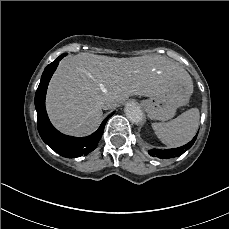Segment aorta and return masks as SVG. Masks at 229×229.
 <instances>
[{
    "label": "aorta",
    "mask_w": 229,
    "mask_h": 229,
    "mask_svg": "<svg viewBox=\"0 0 229 229\" xmlns=\"http://www.w3.org/2000/svg\"><path fill=\"white\" fill-rule=\"evenodd\" d=\"M124 112L127 118L134 124H139L143 120V112L135 103L126 104Z\"/></svg>",
    "instance_id": "aorta-1"
}]
</instances>
